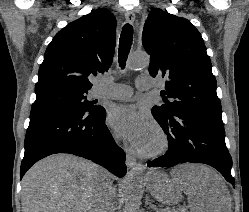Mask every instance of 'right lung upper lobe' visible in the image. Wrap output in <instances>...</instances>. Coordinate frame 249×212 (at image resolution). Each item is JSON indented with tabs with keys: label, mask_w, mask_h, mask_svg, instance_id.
I'll return each instance as SVG.
<instances>
[{
	"label": "right lung upper lobe",
	"mask_w": 249,
	"mask_h": 212,
	"mask_svg": "<svg viewBox=\"0 0 249 212\" xmlns=\"http://www.w3.org/2000/svg\"><path fill=\"white\" fill-rule=\"evenodd\" d=\"M116 19L100 8L71 22L48 45L38 72L36 96L54 91L91 89L89 75L104 73L112 63Z\"/></svg>",
	"instance_id": "obj_1"
}]
</instances>
